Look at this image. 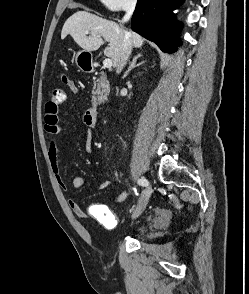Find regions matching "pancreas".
<instances>
[{
    "mask_svg": "<svg viewBox=\"0 0 249 294\" xmlns=\"http://www.w3.org/2000/svg\"><path fill=\"white\" fill-rule=\"evenodd\" d=\"M101 77L93 82V100L97 98L105 101L110 92L109 81L107 80L104 72H101Z\"/></svg>",
    "mask_w": 249,
    "mask_h": 294,
    "instance_id": "obj_1",
    "label": "pancreas"
}]
</instances>
